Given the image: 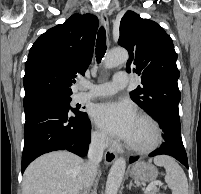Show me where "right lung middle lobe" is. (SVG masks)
<instances>
[{"mask_svg": "<svg viewBox=\"0 0 201 194\" xmlns=\"http://www.w3.org/2000/svg\"><path fill=\"white\" fill-rule=\"evenodd\" d=\"M56 99H59L60 101H62L64 104H66L69 109H71L74 113L80 114V115H86L85 112L79 111L78 108H72L70 106V101H71V97L69 95H51Z\"/></svg>", "mask_w": 201, "mask_h": 194, "instance_id": "right-lung-middle-lobe-1", "label": "right lung middle lobe"}]
</instances>
